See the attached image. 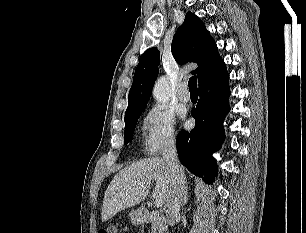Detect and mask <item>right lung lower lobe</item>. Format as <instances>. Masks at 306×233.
I'll return each mask as SVG.
<instances>
[{
  "mask_svg": "<svg viewBox=\"0 0 306 233\" xmlns=\"http://www.w3.org/2000/svg\"><path fill=\"white\" fill-rule=\"evenodd\" d=\"M200 99L192 110L195 127L180 131L176 145L180 162L193 174L211 183L217 173L212 153L224 141L223 120L229 111V75L224 66L199 83Z\"/></svg>",
  "mask_w": 306,
  "mask_h": 233,
  "instance_id": "right-lung-lower-lobe-1",
  "label": "right lung lower lobe"
}]
</instances>
